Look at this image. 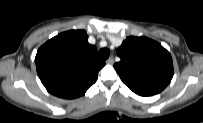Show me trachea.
<instances>
[{
	"instance_id": "obj_1",
	"label": "trachea",
	"mask_w": 203,
	"mask_h": 123,
	"mask_svg": "<svg viewBox=\"0 0 203 123\" xmlns=\"http://www.w3.org/2000/svg\"><path fill=\"white\" fill-rule=\"evenodd\" d=\"M110 55V50L107 48H103L99 51V57L102 60H106Z\"/></svg>"
}]
</instances>
